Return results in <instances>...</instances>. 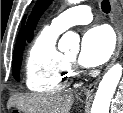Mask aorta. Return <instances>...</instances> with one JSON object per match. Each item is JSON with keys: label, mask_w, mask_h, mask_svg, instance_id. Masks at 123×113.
I'll return each mask as SVG.
<instances>
[{"label": "aorta", "mask_w": 123, "mask_h": 113, "mask_svg": "<svg viewBox=\"0 0 123 113\" xmlns=\"http://www.w3.org/2000/svg\"><path fill=\"white\" fill-rule=\"evenodd\" d=\"M69 3L76 4L80 0H68ZM79 36L72 32H66L58 43L60 51H79ZM123 67L121 64L113 65L101 80L92 104L91 113H109V106L116 87L121 79Z\"/></svg>", "instance_id": "obj_1"}]
</instances>
